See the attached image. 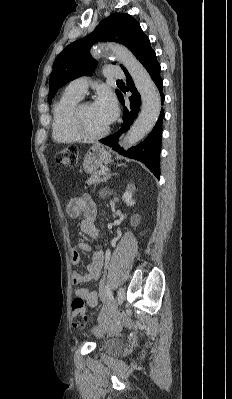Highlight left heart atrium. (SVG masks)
<instances>
[{"mask_svg": "<svg viewBox=\"0 0 232 399\" xmlns=\"http://www.w3.org/2000/svg\"><path fill=\"white\" fill-rule=\"evenodd\" d=\"M92 108L108 126H110L118 116L117 104L110 94L101 95L92 105Z\"/></svg>", "mask_w": 232, "mask_h": 399, "instance_id": "left-heart-atrium-1", "label": "left heart atrium"}]
</instances>
